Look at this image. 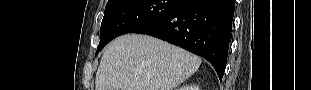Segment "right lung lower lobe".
Returning a JSON list of instances; mask_svg holds the SVG:
<instances>
[{
  "instance_id": "obj_1",
  "label": "right lung lower lobe",
  "mask_w": 311,
  "mask_h": 90,
  "mask_svg": "<svg viewBox=\"0 0 311 90\" xmlns=\"http://www.w3.org/2000/svg\"><path fill=\"white\" fill-rule=\"evenodd\" d=\"M233 15L234 0H181L170 13L136 33L157 37L204 57L221 80Z\"/></svg>"
}]
</instances>
